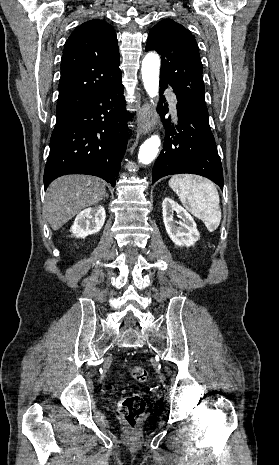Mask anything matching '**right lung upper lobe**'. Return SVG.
<instances>
[{"label":"right lung upper lobe","instance_id":"obj_1","mask_svg":"<svg viewBox=\"0 0 279 465\" xmlns=\"http://www.w3.org/2000/svg\"><path fill=\"white\" fill-rule=\"evenodd\" d=\"M121 79L112 26L90 20L68 38L61 60L56 125Z\"/></svg>","mask_w":279,"mask_h":465}]
</instances>
